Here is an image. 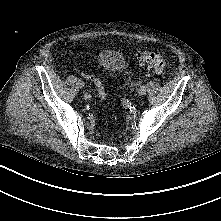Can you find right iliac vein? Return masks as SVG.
I'll list each match as a JSON object with an SVG mask.
<instances>
[{
    "label": "right iliac vein",
    "instance_id": "1",
    "mask_svg": "<svg viewBox=\"0 0 221 221\" xmlns=\"http://www.w3.org/2000/svg\"><path fill=\"white\" fill-rule=\"evenodd\" d=\"M78 84H79V87H80V88H83V87H84V82H83L81 79L78 81Z\"/></svg>",
    "mask_w": 221,
    "mask_h": 221
}]
</instances>
